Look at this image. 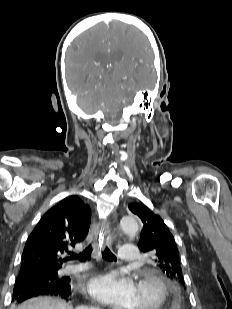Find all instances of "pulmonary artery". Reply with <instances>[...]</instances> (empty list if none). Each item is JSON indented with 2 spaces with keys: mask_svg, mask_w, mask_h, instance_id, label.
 Wrapping results in <instances>:
<instances>
[{
  "mask_svg": "<svg viewBox=\"0 0 232 309\" xmlns=\"http://www.w3.org/2000/svg\"><path fill=\"white\" fill-rule=\"evenodd\" d=\"M118 258L122 262L137 261V249L133 245L122 246L118 252ZM87 269L86 265H67L62 272L68 274H75Z\"/></svg>",
  "mask_w": 232,
  "mask_h": 309,
  "instance_id": "obj_1",
  "label": "pulmonary artery"
}]
</instances>
